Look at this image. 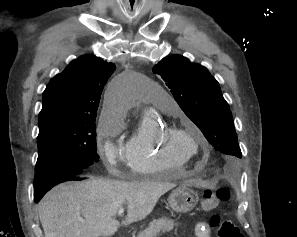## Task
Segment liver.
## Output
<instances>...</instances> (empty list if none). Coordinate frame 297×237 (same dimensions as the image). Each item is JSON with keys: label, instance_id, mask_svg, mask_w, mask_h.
<instances>
[{"label": "liver", "instance_id": "1", "mask_svg": "<svg viewBox=\"0 0 297 237\" xmlns=\"http://www.w3.org/2000/svg\"><path fill=\"white\" fill-rule=\"evenodd\" d=\"M175 187L167 182L90 180L60 184L39 203L44 237H110L120 223L114 218L123 205L122 225L145 219L159 198Z\"/></svg>", "mask_w": 297, "mask_h": 237}]
</instances>
